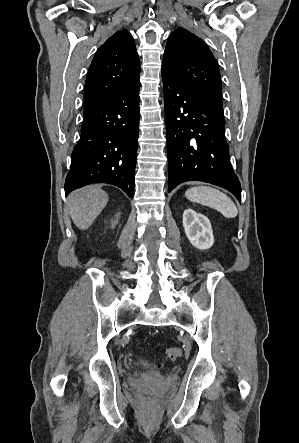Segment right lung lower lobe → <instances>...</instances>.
<instances>
[{
    "mask_svg": "<svg viewBox=\"0 0 299 443\" xmlns=\"http://www.w3.org/2000/svg\"><path fill=\"white\" fill-rule=\"evenodd\" d=\"M140 81L84 112L81 138L71 156L65 194L90 183H108L134 194Z\"/></svg>",
    "mask_w": 299,
    "mask_h": 443,
    "instance_id": "obj_1",
    "label": "right lung lower lobe"
}]
</instances>
